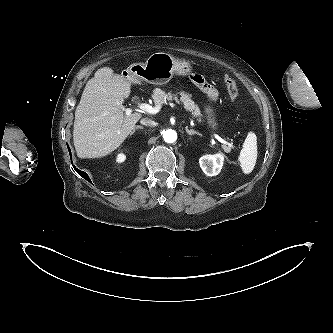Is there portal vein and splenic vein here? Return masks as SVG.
<instances>
[{"instance_id": "18ae733b", "label": "portal vein and splenic vein", "mask_w": 333, "mask_h": 333, "mask_svg": "<svg viewBox=\"0 0 333 333\" xmlns=\"http://www.w3.org/2000/svg\"><path fill=\"white\" fill-rule=\"evenodd\" d=\"M138 108L142 111H145V112H148L150 114H156L159 112L160 110V106H157V107H152L150 106L149 104H146V103H139L138 104ZM121 109L125 112L126 115H130L132 112H133V109H130V108H124V107H121ZM215 138L222 144L224 145H227L228 143L222 139L221 137L215 135Z\"/></svg>"}]
</instances>
